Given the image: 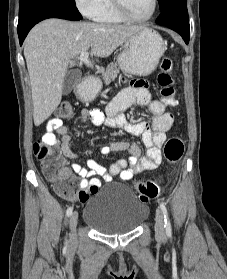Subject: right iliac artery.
Masks as SVG:
<instances>
[{
    "instance_id": "82829eb1",
    "label": "right iliac artery",
    "mask_w": 227,
    "mask_h": 279,
    "mask_svg": "<svg viewBox=\"0 0 227 279\" xmlns=\"http://www.w3.org/2000/svg\"><path fill=\"white\" fill-rule=\"evenodd\" d=\"M72 210H73V207H69L66 211V215L70 216L72 214ZM66 247H67V244H66Z\"/></svg>"
}]
</instances>
